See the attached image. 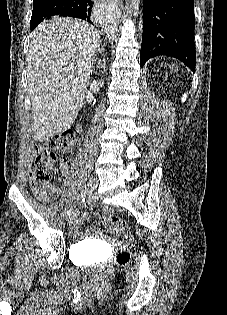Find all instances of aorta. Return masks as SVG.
Here are the masks:
<instances>
[{"label": "aorta", "mask_w": 227, "mask_h": 315, "mask_svg": "<svg viewBox=\"0 0 227 315\" xmlns=\"http://www.w3.org/2000/svg\"><path fill=\"white\" fill-rule=\"evenodd\" d=\"M130 1H131V7L133 9V16L136 18L139 14V7H140L141 0H130ZM107 31L109 33H113L115 32V29L113 28V26H109Z\"/></svg>", "instance_id": "1"}]
</instances>
